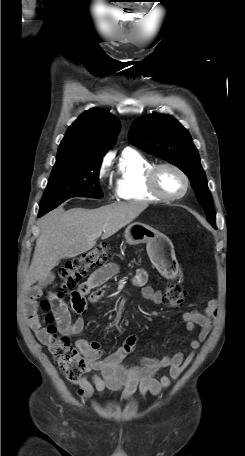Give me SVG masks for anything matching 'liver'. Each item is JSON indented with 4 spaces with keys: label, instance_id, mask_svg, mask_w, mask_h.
I'll list each match as a JSON object with an SVG mask.
<instances>
[{
    "label": "liver",
    "instance_id": "obj_1",
    "mask_svg": "<svg viewBox=\"0 0 245 456\" xmlns=\"http://www.w3.org/2000/svg\"><path fill=\"white\" fill-rule=\"evenodd\" d=\"M148 204L131 201L113 203L97 209L62 207L40 219V236L24 281V290L46 279L64 258H73L91 250L102 236L106 239L131 223Z\"/></svg>",
    "mask_w": 245,
    "mask_h": 456
}]
</instances>
